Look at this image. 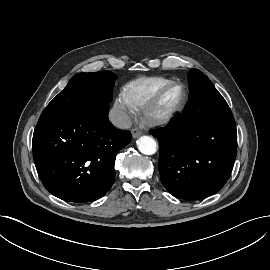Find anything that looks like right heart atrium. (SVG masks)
<instances>
[{"label": "right heart atrium", "instance_id": "right-heart-atrium-1", "mask_svg": "<svg viewBox=\"0 0 270 270\" xmlns=\"http://www.w3.org/2000/svg\"><path fill=\"white\" fill-rule=\"evenodd\" d=\"M113 109L117 123L121 127L127 126L130 122L133 108L124 93H120L116 96L113 104Z\"/></svg>", "mask_w": 270, "mask_h": 270}]
</instances>
